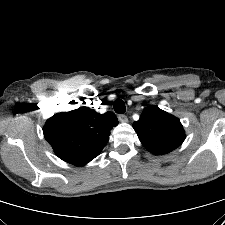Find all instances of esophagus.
<instances>
[{
  "mask_svg": "<svg viewBox=\"0 0 225 225\" xmlns=\"http://www.w3.org/2000/svg\"><path fill=\"white\" fill-rule=\"evenodd\" d=\"M118 119H119V121L122 122V123H127V122H128V118H127V116L124 115V114H120V115L118 116Z\"/></svg>",
  "mask_w": 225,
  "mask_h": 225,
  "instance_id": "obj_1",
  "label": "esophagus"
}]
</instances>
